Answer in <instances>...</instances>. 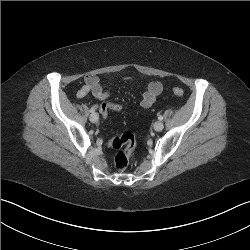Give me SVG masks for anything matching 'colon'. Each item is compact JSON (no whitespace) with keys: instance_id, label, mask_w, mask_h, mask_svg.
Masks as SVG:
<instances>
[{"instance_id":"5ec220e1","label":"colon","mask_w":250,"mask_h":250,"mask_svg":"<svg viewBox=\"0 0 250 250\" xmlns=\"http://www.w3.org/2000/svg\"><path fill=\"white\" fill-rule=\"evenodd\" d=\"M173 92L178 97H182L184 95V91L180 87H174ZM109 109L121 114L123 107L116 102L103 103L100 107L102 118L105 119L107 117ZM105 147L107 149L114 148L116 150H120L114 158V167L117 171H123L127 168L130 157L135 150L136 138L132 132H124L113 139H108L105 142Z\"/></svg>"}]
</instances>
